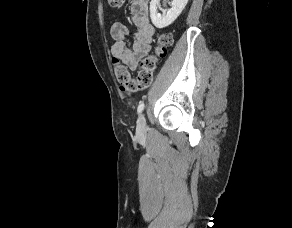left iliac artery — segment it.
I'll use <instances>...</instances> for the list:
<instances>
[{"label":"left iliac artery","mask_w":292,"mask_h":228,"mask_svg":"<svg viewBox=\"0 0 292 228\" xmlns=\"http://www.w3.org/2000/svg\"><path fill=\"white\" fill-rule=\"evenodd\" d=\"M144 107H145L144 102H140V104L138 105V108H137L138 114H140L144 110Z\"/></svg>","instance_id":"44dca946"}]
</instances>
